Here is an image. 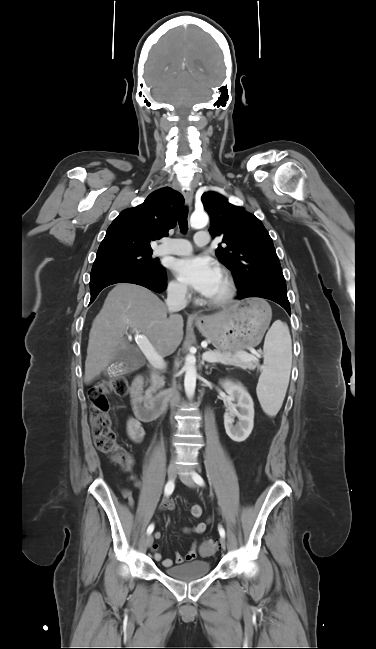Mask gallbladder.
<instances>
[{
	"mask_svg": "<svg viewBox=\"0 0 376 649\" xmlns=\"http://www.w3.org/2000/svg\"><path fill=\"white\" fill-rule=\"evenodd\" d=\"M137 355L128 350L120 349L115 354L110 370H104L105 376L115 375L121 372H128L134 368Z\"/></svg>",
	"mask_w": 376,
	"mask_h": 649,
	"instance_id": "gallbladder-1",
	"label": "gallbladder"
}]
</instances>
